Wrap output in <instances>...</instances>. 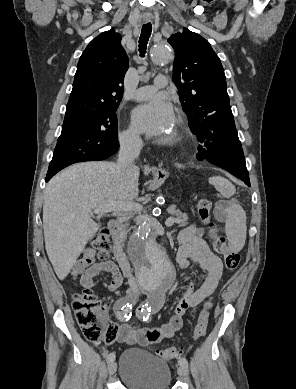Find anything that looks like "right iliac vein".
<instances>
[{
    "label": "right iliac vein",
    "instance_id": "right-iliac-vein-1",
    "mask_svg": "<svg viewBox=\"0 0 296 389\" xmlns=\"http://www.w3.org/2000/svg\"><path fill=\"white\" fill-rule=\"evenodd\" d=\"M116 369H117V365L114 362V360L110 361L109 365H108V372H109V374L113 375L116 372Z\"/></svg>",
    "mask_w": 296,
    "mask_h": 389
}]
</instances>
